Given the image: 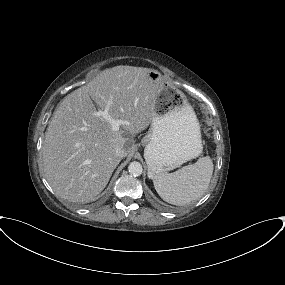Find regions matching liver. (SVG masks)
<instances>
[{"instance_id":"1","label":"liver","mask_w":285,"mask_h":285,"mask_svg":"<svg viewBox=\"0 0 285 285\" xmlns=\"http://www.w3.org/2000/svg\"><path fill=\"white\" fill-rule=\"evenodd\" d=\"M149 69L116 66L100 72L58 105L45 133L43 166L54 192L76 203L94 200L106 187L121 161L115 150L131 153L132 135L145 130L155 115L157 85ZM126 123L118 131L97 112ZM124 156V157H125Z\"/></svg>"}]
</instances>
